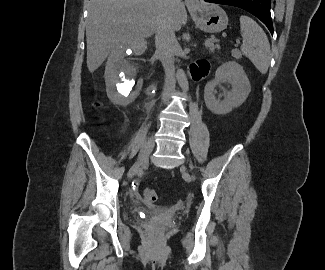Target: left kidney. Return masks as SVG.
Instances as JSON below:
<instances>
[{"instance_id":"left-kidney-1","label":"left kidney","mask_w":325,"mask_h":270,"mask_svg":"<svg viewBox=\"0 0 325 270\" xmlns=\"http://www.w3.org/2000/svg\"><path fill=\"white\" fill-rule=\"evenodd\" d=\"M220 83H228L231 90L224 95L223 100L216 98V87ZM251 91L249 79L242 66L230 61L217 68L215 79L207 83L204 100L207 108L214 114L224 115L239 107Z\"/></svg>"}]
</instances>
